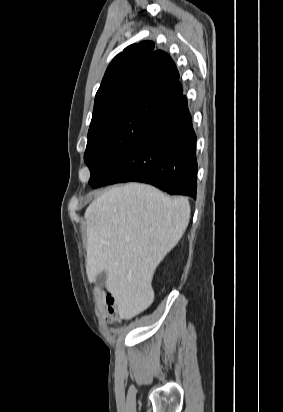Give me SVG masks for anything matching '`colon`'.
Instances as JSON below:
<instances>
[{
    "label": "colon",
    "mask_w": 283,
    "mask_h": 412,
    "mask_svg": "<svg viewBox=\"0 0 283 412\" xmlns=\"http://www.w3.org/2000/svg\"><path fill=\"white\" fill-rule=\"evenodd\" d=\"M107 304V320L110 323H119L123 318L124 314L123 311L117 301V299L113 296H108L106 298Z\"/></svg>",
    "instance_id": "obj_1"
}]
</instances>
